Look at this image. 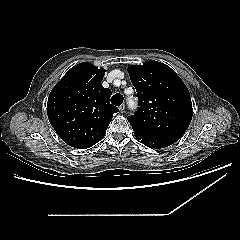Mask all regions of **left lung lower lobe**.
I'll return each mask as SVG.
<instances>
[{"instance_id": "obj_1", "label": "left lung lower lobe", "mask_w": 240, "mask_h": 240, "mask_svg": "<svg viewBox=\"0 0 240 240\" xmlns=\"http://www.w3.org/2000/svg\"><path fill=\"white\" fill-rule=\"evenodd\" d=\"M135 137L140 140L144 145L150 148H164L172 145L176 141H178L180 138L175 137H167V136H139L134 134Z\"/></svg>"}]
</instances>
